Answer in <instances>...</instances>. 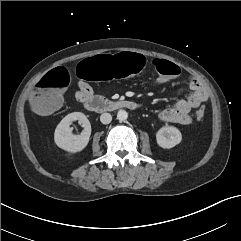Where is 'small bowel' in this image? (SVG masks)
Here are the masks:
<instances>
[{
  "instance_id": "c3829d8e",
  "label": "small bowel",
  "mask_w": 241,
  "mask_h": 241,
  "mask_svg": "<svg viewBox=\"0 0 241 241\" xmlns=\"http://www.w3.org/2000/svg\"><path fill=\"white\" fill-rule=\"evenodd\" d=\"M167 81L157 79L158 83H165ZM189 89L191 90V94L188 97L179 99L173 106L160 111L159 118L162 121L179 123L181 125L192 123L191 110L200 107L207 100L208 94L205 86L197 78L190 80ZM92 97H94V92L91 86L85 81L79 82L75 93L76 100L84 103Z\"/></svg>"
}]
</instances>
